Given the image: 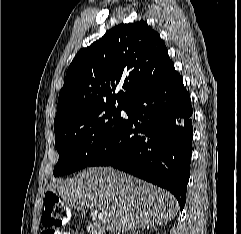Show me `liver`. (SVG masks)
Wrapping results in <instances>:
<instances>
[{"label": "liver", "mask_w": 241, "mask_h": 234, "mask_svg": "<svg viewBox=\"0 0 241 234\" xmlns=\"http://www.w3.org/2000/svg\"><path fill=\"white\" fill-rule=\"evenodd\" d=\"M48 189L78 210L95 207L106 230L114 234L161 226L178 211L177 200L168 191L111 167L87 168Z\"/></svg>", "instance_id": "1"}]
</instances>
